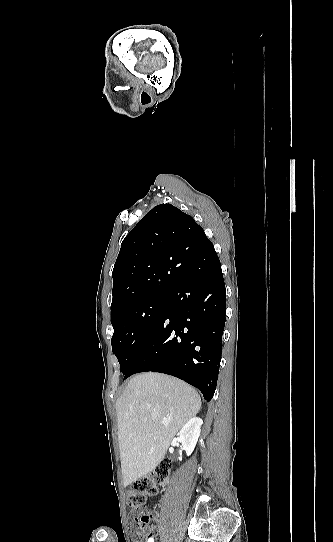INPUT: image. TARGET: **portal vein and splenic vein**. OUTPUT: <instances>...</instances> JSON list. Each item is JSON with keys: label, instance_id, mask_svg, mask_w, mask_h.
I'll list each match as a JSON object with an SVG mask.
<instances>
[{"label": "portal vein and splenic vein", "instance_id": "portal-vein-and-splenic-vein-1", "mask_svg": "<svg viewBox=\"0 0 333 542\" xmlns=\"http://www.w3.org/2000/svg\"><path fill=\"white\" fill-rule=\"evenodd\" d=\"M163 426H168L169 422H162Z\"/></svg>", "mask_w": 333, "mask_h": 542}]
</instances>
